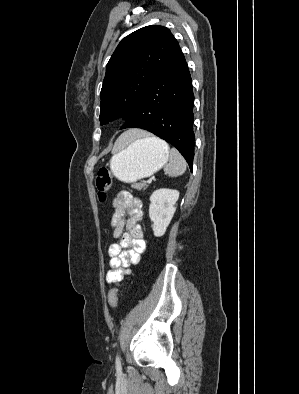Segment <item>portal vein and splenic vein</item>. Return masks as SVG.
<instances>
[{
    "label": "portal vein and splenic vein",
    "instance_id": "portal-vein-and-splenic-vein-1",
    "mask_svg": "<svg viewBox=\"0 0 299 394\" xmlns=\"http://www.w3.org/2000/svg\"><path fill=\"white\" fill-rule=\"evenodd\" d=\"M151 182H152V180H151V179H148V180H147V183H151Z\"/></svg>",
    "mask_w": 299,
    "mask_h": 394
}]
</instances>
